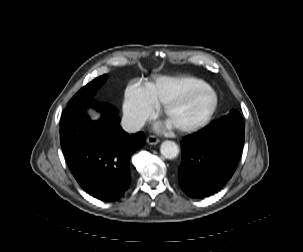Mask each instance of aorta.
Here are the masks:
<instances>
[{
  "label": "aorta",
  "instance_id": "1",
  "mask_svg": "<svg viewBox=\"0 0 303 252\" xmlns=\"http://www.w3.org/2000/svg\"><path fill=\"white\" fill-rule=\"evenodd\" d=\"M161 154L167 159H174L179 154V148L173 141H164L160 146Z\"/></svg>",
  "mask_w": 303,
  "mask_h": 252
}]
</instances>
